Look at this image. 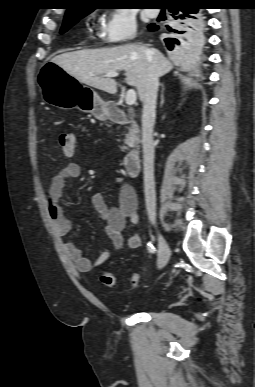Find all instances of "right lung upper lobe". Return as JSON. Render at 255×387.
<instances>
[{"label": "right lung upper lobe", "instance_id": "cb5924a9", "mask_svg": "<svg viewBox=\"0 0 255 387\" xmlns=\"http://www.w3.org/2000/svg\"><path fill=\"white\" fill-rule=\"evenodd\" d=\"M75 5L67 9L66 14L68 13H83L87 11H92L91 3L87 2L89 0H75Z\"/></svg>", "mask_w": 255, "mask_h": 387}]
</instances>
